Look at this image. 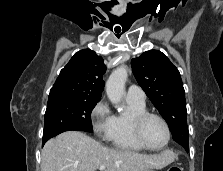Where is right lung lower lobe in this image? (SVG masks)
Wrapping results in <instances>:
<instances>
[{"label":"right lung lower lobe","instance_id":"obj_1","mask_svg":"<svg viewBox=\"0 0 223 171\" xmlns=\"http://www.w3.org/2000/svg\"><path fill=\"white\" fill-rule=\"evenodd\" d=\"M70 130H76V131H81L79 129H76V128H73V127H67V128H64V129H61L59 130L58 132L55 133V136L62 133V132H65V131H70ZM47 140H43V145L44 143L46 142Z\"/></svg>","mask_w":223,"mask_h":171}]
</instances>
